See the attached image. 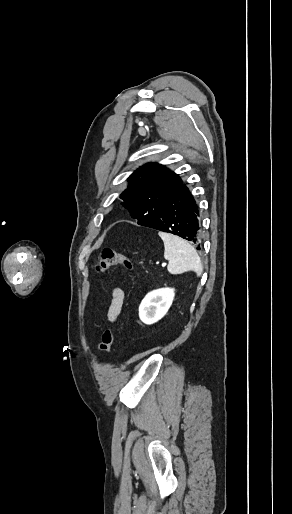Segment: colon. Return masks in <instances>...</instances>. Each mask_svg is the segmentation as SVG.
I'll return each mask as SVG.
<instances>
[{"label": "colon", "instance_id": "5ec220e1", "mask_svg": "<svg viewBox=\"0 0 292 514\" xmlns=\"http://www.w3.org/2000/svg\"><path fill=\"white\" fill-rule=\"evenodd\" d=\"M122 265L127 269H131L132 264L129 256L117 251L112 246H105L98 258L94 260V268L96 272L103 273L106 270ZM116 332L112 327H108L103 332L102 338L98 343V350L103 354H108L111 347L115 343Z\"/></svg>", "mask_w": 292, "mask_h": 514}]
</instances>
